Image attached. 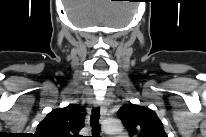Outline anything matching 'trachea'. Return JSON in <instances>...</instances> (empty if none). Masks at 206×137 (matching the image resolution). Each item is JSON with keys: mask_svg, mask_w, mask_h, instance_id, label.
<instances>
[{"mask_svg": "<svg viewBox=\"0 0 206 137\" xmlns=\"http://www.w3.org/2000/svg\"><path fill=\"white\" fill-rule=\"evenodd\" d=\"M99 118H100V110L99 108L93 109L92 115L90 118V125L92 127V137H102L100 136L101 132V126L99 124Z\"/></svg>", "mask_w": 206, "mask_h": 137, "instance_id": "trachea-1", "label": "trachea"}]
</instances>
